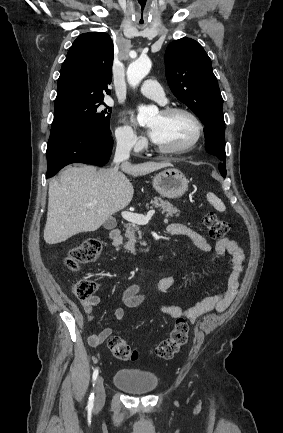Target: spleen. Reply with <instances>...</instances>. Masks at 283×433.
<instances>
[{
	"mask_svg": "<svg viewBox=\"0 0 283 433\" xmlns=\"http://www.w3.org/2000/svg\"><path fill=\"white\" fill-rule=\"evenodd\" d=\"M207 200L208 202H210V204H213L216 210H220V212H223V210H225L226 208L221 198H218V196H216V194H213V192H207Z\"/></svg>",
	"mask_w": 283,
	"mask_h": 433,
	"instance_id": "3e777b00",
	"label": "spleen"
}]
</instances>
